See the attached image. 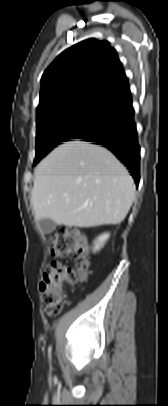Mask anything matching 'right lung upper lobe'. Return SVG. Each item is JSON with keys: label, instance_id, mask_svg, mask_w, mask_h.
Returning <instances> with one entry per match:
<instances>
[{"label": "right lung upper lobe", "instance_id": "1", "mask_svg": "<svg viewBox=\"0 0 168 406\" xmlns=\"http://www.w3.org/2000/svg\"><path fill=\"white\" fill-rule=\"evenodd\" d=\"M128 89L116 50L107 41L84 40L62 52L42 75L37 120L77 102H108Z\"/></svg>", "mask_w": 168, "mask_h": 406}]
</instances>
